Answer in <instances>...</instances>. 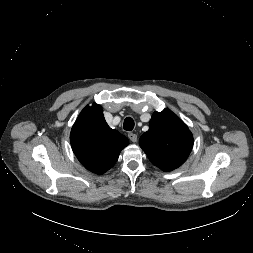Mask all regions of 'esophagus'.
<instances>
[{
	"label": "esophagus",
	"instance_id": "34e87169",
	"mask_svg": "<svg viewBox=\"0 0 253 253\" xmlns=\"http://www.w3.org/2000/svg\"><path fill=\"white\" fill-rule=\"evenodd\" d=\"M128 137H129V139L132 141V142H137V139H138V137H137V135L136 134H134V133H129L128 134Z\"/></svg>",
	"mask_w": 253,
	"mask_h": 253
}]
</instances>
